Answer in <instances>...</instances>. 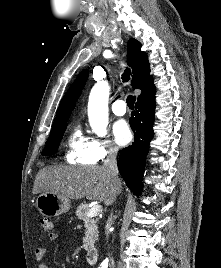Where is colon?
I'll return each instance as SVG.
<instances>
[{
	"mask_svg": "<svg viewBox=\"0 0 221 268\" xmlns=\"http://www.w3.org/2000/svg\"><path fill=\"white\" fill-rule=\"evenodd\" d=\"M41 227L44 231H51L53 224L48 218H41Z\"/></svg>",
	"mask_w": 221,
	"mask_h": 268,
	"instance_id": "obj_1",
	"label": "colon"
}]
</instances>
